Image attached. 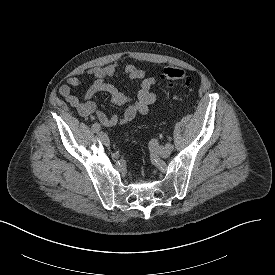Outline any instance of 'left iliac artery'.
Listing matches in <instances>:
<instances>
[{"instance_id": "obj_1", "label": "left iliac artery", "mask_w": 275, "mask_h": 275, "mask_svg": "<svg viewBox=\"0 0 275 275\" xmlns=\"http://www.w3.org/2000/svg\"><path fill=\"white\" fill-rule=\"evenodd\" d=\"M166 147L169 148L170 150L174 149V146L171 143H167Z\"/></svg>"}]
</instances>
